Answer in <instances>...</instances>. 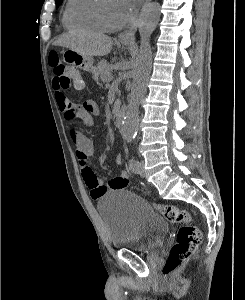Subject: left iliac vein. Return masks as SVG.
<instances>
[{"mask_svg": "<svg viewBox=\"0 0 245 300\" xmlns=\"http://www.w3.org/2000/svg\"><path fill=\"white\" fill-rule=\"evenodd\" d=\"M139 163H140V174L144 176V160H141Z\"/></svg>", "mask_w": 245, "mask_h": 300, "instance_id": "1", "label": "left iliac vein"}]
</instances>
